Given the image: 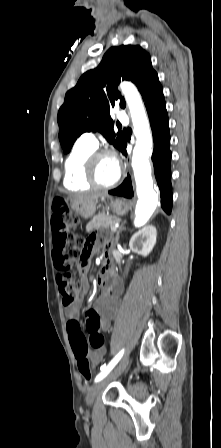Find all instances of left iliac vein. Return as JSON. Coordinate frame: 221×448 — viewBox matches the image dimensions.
Segmentation results:
<instances>
[{
  "label": "left iliac vein",
  "instance_id": "left-iliac-vein-1",
  "mask_svg": "<svg viewBox=\"0 0 221 448\" xmlns=\"http://www.w3.org/2000/svg\"><path fill=\"white\" fill-rule=\"evenodd\" d=\"M130 358L123 359L105 378L93 384L87 392L86 402L92 405L100 390L105 387L107 383L117 378L128 366Z\"/></svg>",
  "mask_w": 221,
  "mask_h": 448
}]
</instances>
